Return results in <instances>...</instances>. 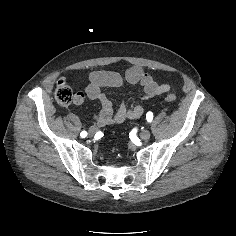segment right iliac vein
Wrapping results in <instances>:
<instances>
[{"mask_svg":"<svg viewBox=\"0 0 236 236\" xmlns=\"http://www.w3.org/2000/svg\"><path fill=\"white\" fill-rule=\"evenodd\" d=\"M97 132V128L92 126L89 128V136H93Z\"/></svg>","mask_w":236,"mask_h":236,"instance_id":"63e3f726","label":"right iliac vein"}]
</instances>
